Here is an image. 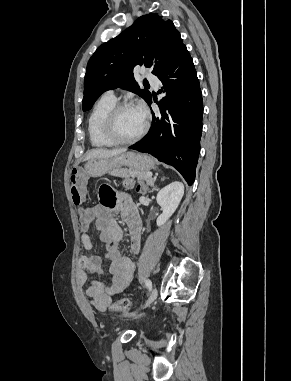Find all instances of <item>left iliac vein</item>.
<instances>
[{
  "label": "left iliac vein",
  "mask_w": 291,
  "mask_h": 381,
  "mask_svg": "<svg viewBox=\"0 0 291 381\" xmlns=\"http://www.w3.org/2000/svg\"><path fill=\"white\" fill-rule=\"evenodd\" d=\"M157 296H158V290H157L156 287H154L152 289V291H151V293L149 295V298L146 301L144 307L146 308V307L150 306L156 300Z\"/></svg>",
  "instance_id": "left-iliac-vein-1"
}]
</instances>
